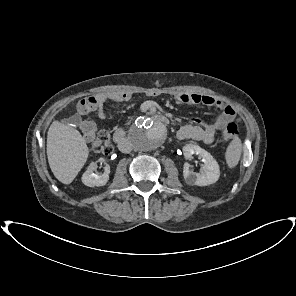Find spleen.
Wrapping results in <instances>:
<instances>
[{
  "instance_id": "3e777b00",
  "label": "spleen",
  "mask_w": 296,
  "mask_h": 296,
  "mask_svg": "<svg viewBox=\"0 0 296 296\" xmlns=\"http://www.w3.org/2000/svg\"><path fill=\"white\" fill-rule=\"evenodd\" d=\"M242 142L238 137H234L227 147L225 159L230 168H234L241 157Z\"/></svg>"
}]
</instances>
